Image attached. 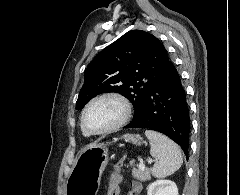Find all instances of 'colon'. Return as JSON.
I'll return each mask as SVG.
<instances>
[{
    "label": "colon",
    "instance_id": "5ec220e1",
    "mask_svg": "<svg viewBox=\"0 0 240 195\" xmlns=\"http://www.w3.org/2000/svg\"><path fill=\"white\" fill-rule=\"evenodd\" d=\"M122 171L121 165H116L113 172L110 174V184L111 186L107 188V193L109 195H118L119 193V186L122 181Z\"/></svg>",
    "mask_w": 240,
    "mask_h": 195
}]
</instances>
